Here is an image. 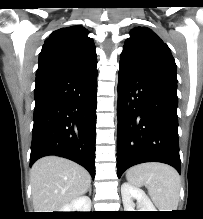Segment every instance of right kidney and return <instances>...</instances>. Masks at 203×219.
I'll return each instance as SVG.
<instances>
[{"label":"right kidney","mask_w":203,"mask_h":219,"mask_svg":"<svg viewBox=\"0 0 203 219\" xmlns=\"http://www.w3.org/2000/svg\"><path fill=\"white\" fill-rule=\"evenodd\" d=\"M91 200L88 196H81L63 206L59 212H90Z\"/></svg>","instance_id":"right-kidney-1"}]
</instances>
